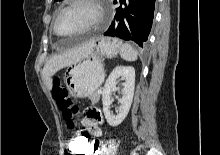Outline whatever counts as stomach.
<instances>
[{
  "mask_svg": "<svg viewBox=\"0 0 220 155\" xmlns=\"http://www.w3.org/2000/svg\"><path fill=\"white\" fill-rule=\"evenodd\" d=\"M120 46L121 42L117 39L101 38L98 45L93 43V49L88 56L68 66L65 84L72 98H90L97 92L105 76L100 55L115 57Z\"/></svg>",
  "mask_w": 220,
  "mask_h": 155,
  "instance_id": "1",
  "label": "stomach"
}]
</instances>
